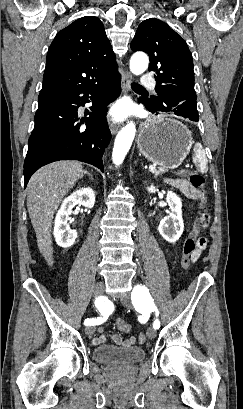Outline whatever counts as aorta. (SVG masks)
Listing matches in <instances>:
<instances>
[{
	"label": "aorta",
	"instance_id": "obj_1",
	"mask_svg": "<svg viewBox=\"0 0 243 409\" xmlns=\"http://www.w3.org/2000/svg\"><path fill=\"white\" fill-rule=\"evenodd\" d=\"M149 64L148 56L145 53H135L130 59V71L135 75H140L147 69ZM136 133V126L129 122L118 133L112 152V159L116 166L122 164L127 155Z\"/></svg>",
	"mask_w": 243,
	"mask_h": 409
}]
</instances>
